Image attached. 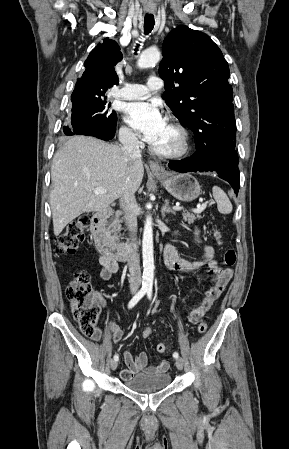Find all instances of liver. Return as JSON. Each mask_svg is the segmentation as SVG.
I'll list each match as a JSON object with an SVG mask.
<instances>
[{"label": "liver", "mask_w": 289, "mask_h": 449, "mask_svg": "<svg viewBox=\"0 0 289 449\" xmlns=\"http://www.w3.org/2000/svg\"><path fill=\"white\" fill-rule=\"evenodd\" d=\"M141 159L130 161L121 147L85 136L70 138L54 155L50 206L53 230L58 236L82 213L100 212L141 185ZM96 188L106 189L94 194Z\"/></svg>", "instance_id": "obj_1"}]
</instances>
